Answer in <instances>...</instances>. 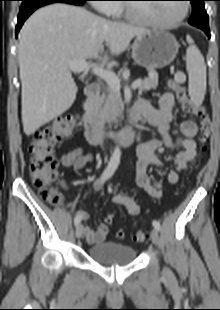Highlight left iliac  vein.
<instances>
[{
	"label": "left iliac vein",
	"instance_id": "1",
	"mask_svg": "<svg viewBox=\"0 0 220 310\" xmlns=\"http://www.w3.org/2000/svg\"><path fill=\"white\" fill-rule=\"evenodd\" d=\"M150 237H151L153 244H155V245L159 244V233H158L157 229H155V228L152 229Z\"/></svg>",
	"mask_w": 220,
	"mask_h": 310
}]
</instances>
